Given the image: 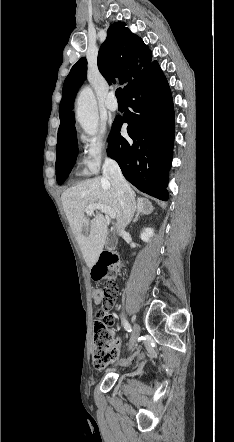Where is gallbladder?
I'll use <instances>...</instances> for the list:
<instances>
[{"mask_svg":"<svg viewBox=\"0 0 234 442\" xmlns=\"http://www.w3.org/2000/svg\"><path fill=\"white\" fill-rule=\"evenodd\" d=\"M108 246H109V248H112L113 244H112L111 240L109 241V245Z\"/></svg>","mask_w":234,"mask_h":442,"instance_id":"obj_1","label":"gallbladder"}]
</instances>
